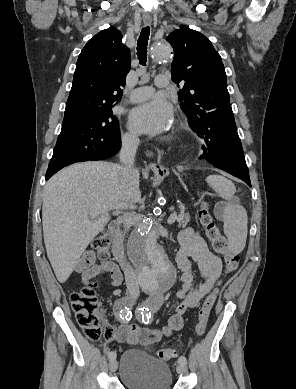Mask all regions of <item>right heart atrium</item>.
I'll return each mask as SVG.
<instances>
[{"mask_svg": "<svg viewBox=\"0 0 296 389\" xmlns=\"http://www.w3.org/2000/svg\"><path fill=\"white\" fill-rule=\"evenodd\" d=\"M135 136L132 133H126L123 137V141L126 145H131L135 142Z\"/></svg>", "mask_w": 296, "mask_h": 389, "instance_id": "right-heart-atrium-1", "label": "right heart atrium"}]
</instances>
